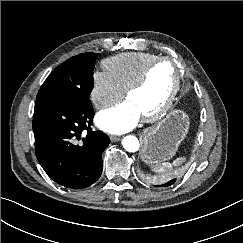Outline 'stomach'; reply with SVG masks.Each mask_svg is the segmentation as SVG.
Listing matches in <instances>:
<instances>
[{"label": "stomach", "mask_w": 243, "mask_h": 243, "mask_svg": "<svg viewBox=\"0 0 243 243\" xmlns=\"http://www.w3.org/2000/svg\"><path fill=\"white\" fill-rule=\"evenodd\" d=\"M189 128V118L181 110H173L143 134L141 158L154 165L172 158Z\"/></svg>", "instance_id": "stomach-1"}]
</instances>
